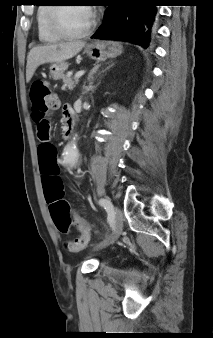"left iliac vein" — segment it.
Masks as SVG:
<instances>
[{"instance_id": "1", "label": "left iliac vein", "mask_w": 213, "mask_h": 338, "mask_svg": "<svg viewBox=\"0 0 213 338\" xmlns=\"http://www.w3.org/2000/svg\"><path fill=\"white\" fill-rule=\"evenodd\" d=\"M114 230L111 233V235L106 238L103 242H101L98 246L97 249H102L105 248L111 244H113L120 236L122 230H123V215L122 211L115 207L114 208Z\"/></svg>"}]
</instances>
